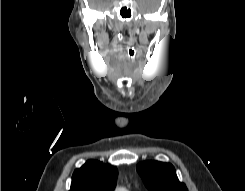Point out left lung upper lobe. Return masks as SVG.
Returning a JSON list of instances; mask_svg holds the SVG:
<instances>
[{
    "label": "left lung upper lobe",
    "mask_w": 245,
    "mask_h": 191,
    "mask_svg": "<svg viewBox=\"0 0 245 191\" xmlns=\"http://www.w3.org/2000/svg\"><path fill=\"white\" fill-rule=\"evenodd\" d=\"M137 171L150 191H188L170 163L145 161L137 165Z\"/></svg>",
    "instance_id": "1"
}]
</instances>
